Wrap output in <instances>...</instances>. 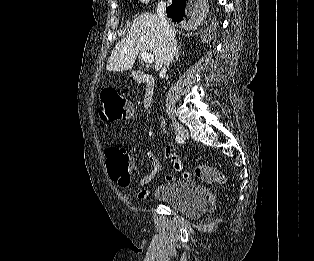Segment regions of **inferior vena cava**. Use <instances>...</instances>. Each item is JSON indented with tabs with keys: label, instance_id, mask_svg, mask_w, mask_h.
Returning <instances> with one entry per match:
<instances>
[{
	"label": "inferior vena cava",
	"instance_id": "inferior-vena-cava-1",
	"mask_svg": "<svg viewBox=\"0 0 314 261\" xmlns=\"http://www.w3.org/2000/svg\"><path fill=\"white\" fill-rule=\"evenodd\" d=\"M165 11H166V3L160 2L157 6V15L161 19V23L163 26V33H164L163 65L169 66V64L172 62V60L176 54L177 41L175 39L174 31L169 26V24L165 18Z\"/></svg>",
	"mask_w": 314,
	"mask_h": 261
}]
</instances>
